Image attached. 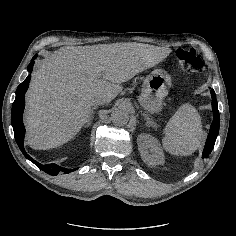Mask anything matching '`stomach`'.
Listing matches in <instances>:
<instances>
[{"instance_id": "obj_1", "label": "stomach", "mask_w": 236, "mask_h": 236, "mask_svg": "<svg viewBox=\"0 0 236 236\" xmlns=\"http://www.w3.org/2000/svg\"><path fill=\"white\" fill-rule=\"evenodd\" d=\"M171 87V77L166 71L154 70L144 83L139 96L141 106L148 112H158L162 109V99L167 96Z\"/></svg>"}]
</instances>
